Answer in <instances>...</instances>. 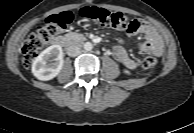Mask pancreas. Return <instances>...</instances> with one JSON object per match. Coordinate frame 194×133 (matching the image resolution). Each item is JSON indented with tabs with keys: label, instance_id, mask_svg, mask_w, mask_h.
<instances>
[{
	"label": "pancreas",
	"instance_id": "obj_1",
	"mask_svg": "<svg viewBox=\"0 0 194 133\" xmlns=\"http://www.w3.org/2000/svg\"><path fill=\"white\" fill-rule=\"evenodd\" d=\"M68 38L70 39H76L78 37H81L82 35L81 34H77V33H73V32H70L66 35Z\"/></svg>",
	"mask_w": 194,
	"mask_h": 133
}]
</instances>
